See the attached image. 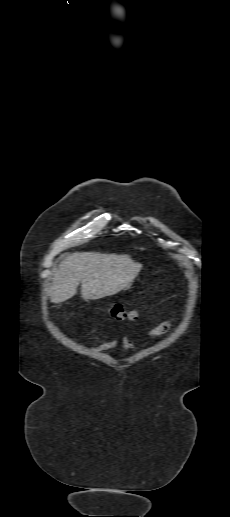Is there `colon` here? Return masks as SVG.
Instances as JSON below:
<instances>
[{
  "label": "colon",
  "mask_w": 230,
  "mask_h": 517,
  "mask_svg": "<svg viewBox=\"0 0 230 517\" xmlns=\"http://www.w3.org/2000/svg\"><path fill=\"white\" fill-rule=\"evenodd\" d=\"M110 315L117 320L135 319L137 314L125 304L117 303L110 308Z\"/></svg>",
  "instance_id": "obj_1"
}]
</instances>
